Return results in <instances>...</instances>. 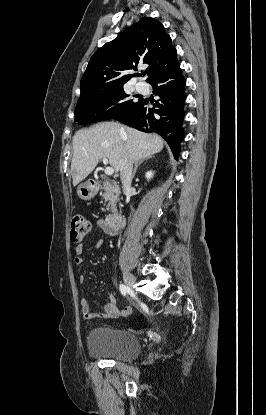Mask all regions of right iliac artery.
<instances>
[{
  "label": "right iliac artery",
  "instance_id": "1",
  "mask_svg": "<svg viewBox=\"0 0 266 415\" xmlns=\"http://www.w3.org/2000/svg\"><path fill=\"white\" fill-rule=\"evenodd\" d=\"M119 288H120L121 293L124 296L127 294L128 290H129V288L127 286H125L124 284H121Z\"/></svg>",
  "mask_w": 266,
  "mask_h": 415
}]
</instances>
